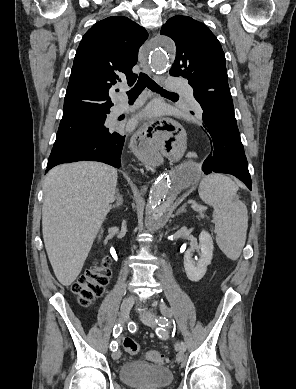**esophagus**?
Instances as JSON below:
<instances>
[{
	"label": "esophagus",
	"instance_id": "1",
	"mask_svg": "<svg viewBox=\"0 0 296 389\" xmlns=\"http://www.w3.org/2000/svg\"><path fill=\"white\" fill-rule=\"evenodd\" d=\"M139 63L143 71L151 75L144 51V46L139 51ZM184 122L182 118L174 121H157L154 117L147 122H142L132 136L131 144L141 163H146L148 167L159 169L163 165L162 152L155 150L158 145L157 139H172L177 131H182Z\"/></svg>",
	"mask_w": 296,
	"mask_h": 389
}]
</instances>
